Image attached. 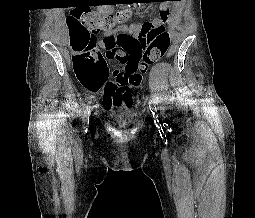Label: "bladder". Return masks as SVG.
<instances>
[{
    "instance_id": "1",
    "label": "bladder",
    "mask_w": 255,
    "mask_h": 218,
    "mask_svg": "<svg viewBox=\"0 0 255 218\" xmlns=\"http://www.w3.org/2000/svg\"><path fill=\"white\" fill-rule=\"evenodd\" d=\"M122 118H124V119L127 120V121L124 123L125 126H128V125L132 124V118H131V116L125 115V116H123Z\"/></svg>"
}]
</instances>
